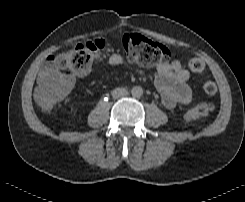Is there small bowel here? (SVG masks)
I'll list each match as a JSON object with an SVG mask.
<instances>
[{
	"instance_id": "obj_1",
	"label": "small bowel",
	"mask_w": 245,
	"mask_h": 202,
	"mask_svg": "<svg viewBox=\"0 0 245 202\" xmlns=\"http://www.w3.org/2000/svg\"><path fill=\"white\" fill-rule=\"evenodd\" d=\"M107 61L111 66H119L122 64L123 58L120 54L113 53L109 55ZM189 77L190 74L188 70L183 67L180 60L175 59L157 66L154 83L164 107L172 109L177 105H186L191 101L192 93L188 85ZM49 78V74H40L37 77V93ZM68 84V93H70L74 87V80L69 79Z\"/></svg>"
}]
</instances>
